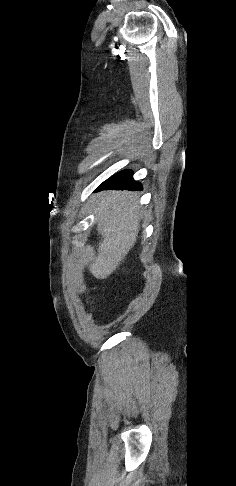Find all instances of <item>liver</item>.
<instances>
[{"mask_svg":"<svg viewBox=\"0 0 236 486\" xmlns=\"http://www.w3.org/2000/svg\"><path fill=\"white\" fill-rule=\"evenodd\" d=\"M94 205L97 231L102 241L89 271L97 279H106L136 242L141 207L136 194L128 191L101 192L96 195Z\"/></svg>","mask_w":236,"mask_h":486,"instance_id":"1","label":"liver"}]
</instances>
